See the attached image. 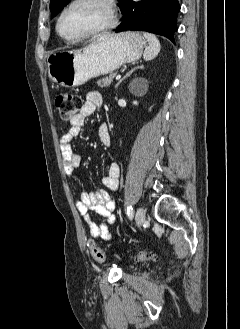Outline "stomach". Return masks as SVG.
Returning a JSON list of instances; mask_svg holds the SVG:
<instances>
[{
    "label": "stomach",
    "instance_id": "1",
    "mask_svg": "<svg viewBox=\"0 0 240 329\" xmlns=\"http://www.w3.org/2000/svg\"><path fill=\"white\" fill-rule=\"evenodd\" d=\"M145 45L146 40L136 32L103 34L83 49L51 54L47 59L49 77L61 86L77 87L137 61Z\"/></svg>",
    "mask_w": 240,
    "mask_h": 329
}]
</instances>
